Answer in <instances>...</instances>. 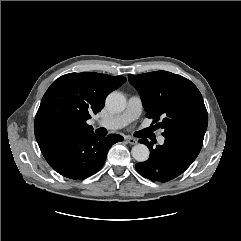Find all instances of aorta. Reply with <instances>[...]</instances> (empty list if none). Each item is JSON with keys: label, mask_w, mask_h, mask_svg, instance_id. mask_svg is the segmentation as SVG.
I'll return each mask as SVG.
<instances>
[{"label": "aorta", "mask_w": 241, "mask_h": 241, "mask_svg": "<svg viewBox=\"0 0 241 241\" xmlns=\"http://www.w3.org/2000/svg\"><path fill=\"white\" fill-rule=\"evenodd\" d=\"M106 106L113 112H122L126 108V98L119 92H112L106 98ZM131 154L138 162H144L149 158V149L144 144H136Z\"/></svg>", "instance_id": "1"}]
</instances>
